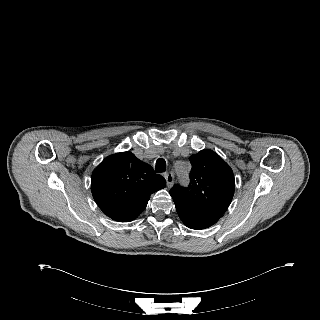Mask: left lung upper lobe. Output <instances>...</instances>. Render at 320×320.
Returning a JSON list of instances; mask_svg holds the SVG:
<instances>
[{
  "mask_svg": "<svg viewBox=\"0 0 320 320\" xmlns=\"http://www.w3.org/2000/svg\"><path fill=\"white\" fill-rule=\"evenodd\" d=\"M189 159L192 165L190 184L174 186L170 190L173 200L223 215L234 195L232 169L210 149L199 151Z\"/></svg>",
  "mask_w": 320,
  "mask_h": 320,
  "instance_id": "obj_1",
  "label": "left lung upper lobe"
}]
</instances>
